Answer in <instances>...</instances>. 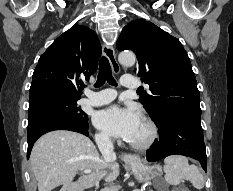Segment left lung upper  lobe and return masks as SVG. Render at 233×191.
I'll use <instances>...</instances> for the list:
<instances>
[{"label":"left lung upper lobe","mask_w":233,"mask_h":191,"mask_svg":"<svg viewBox=\"0 0 233 191\" xmlns=\"http://www.w3.org/2000/svg\"><path fill=\"white\" fill-rule=\"evenodd\" d=\"M118 50H132L135 72L149 84L151 94L139 100L157 123L169 111L201 113L200 94L189 57L178 39L145 19L131 21L117 41Z\"/></svg>","instance_id":"obj_1"}]
</instances>
